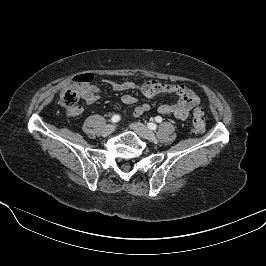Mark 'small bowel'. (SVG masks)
I'll list each match as a JSON object with an SVG mask.
<instances>
[{
    "instance_id": "obj_1",
    "label": "small bowel",
    "mask_w": 266,
    "mask_h": 266,
    "mask_svg": "<svg viewBox=\"0 0 266 266\" xmlns=\"http://www.w3.org/2000/svg\"><path fill=\"white\" fill-rule=\"evenodd\" d=\"M112 90L123 92L137 90L143 96L151 98L160 93H169L178 96V101L173 104H162L159 106L158 111L160 114L173 117L176 120H185L188 118L190 111L199 104V97L187 86L180 84L162 83L156 80H151L137 85L134 82H115L111 80L104 81ZM100 88L94 84L87 83L81 89V97L87 104H93L100 97ZM125 104H134L137 99L130 94H125L121 98ZM150 110L148 103H143L134 110V116L140 117ZM83 112L81 106L68 112L70 116H79Z\"/></svg>"
}]
</instances>
